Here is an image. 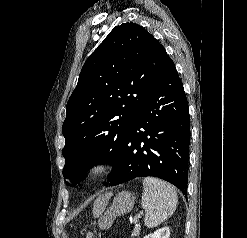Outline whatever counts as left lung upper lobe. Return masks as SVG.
<instances>
[{"instance_id":"obj_1","label":"left lung upper lobe","mask_w":247,"mask_h":238,"mask_svg":"<svg viewBox=\"0 0 247 238\" xmlns=\"http://www.w3.org/2000/svg\"><path fill=\"white\" fill-rule=\"evenodd\" d=\"M169 56L143 27L116 26L82 67L63 123V176L73 184L98 162L112 178L132 123Z\"/></svg>"}]
</instances>
